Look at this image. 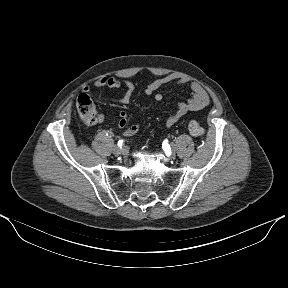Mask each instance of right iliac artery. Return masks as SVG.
Listing matches in <instances>:
<instances>
[{
  "instance_id": "obj_1",
  "label": "right iliac artery",
  "mask_w": 288,
  "mask_h": 288,
  "mask_svg": "<svg viewBox=\"0 0 288 288\" xmlns=\"http://www.w3.org/2000/svg\"><path fill=\"white\" fill-rule=\"evenodd\" d=\"M107 135H109L110 137L113 135L112 132H108Z\"/></svg>"
}]
</instances>
